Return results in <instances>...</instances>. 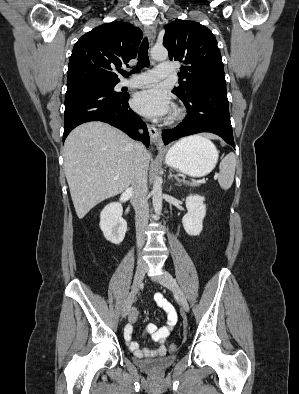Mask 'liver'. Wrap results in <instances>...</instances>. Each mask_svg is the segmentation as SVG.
Returning a JSON list of instances; mask_svg holds the SVG:
<instances>
[{"mask_svg": "<svg viewBox=\"0 0 299 394\" xmlns=\"http://www.w3.org/2000/svg\"><path fill=\"white\" fill-rule=\"evenodd\" d=\"M135 153V142L106 123H84L68 135L63 147L64 172L79 219L129 187ZM144 156L149 164L146 149Z\"/></svg>", "mask_w": 299, "mask_h": 394, "instance_id": "liver-1", "label": "liver"}]
</instances>
